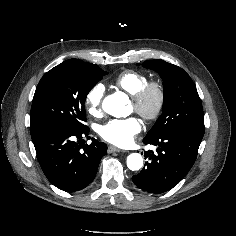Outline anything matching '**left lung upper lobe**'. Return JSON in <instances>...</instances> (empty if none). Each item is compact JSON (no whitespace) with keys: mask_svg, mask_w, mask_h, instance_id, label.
<instances>
[{"mask_svg":"<svg viewBox=\"0 0 236 236\" xmlns=\"http://www.w3.org/2000/svg\"><path fill=\"white\" fill-rule=\"evenodd\" d=\"M143 67L155 70L163 80V112L147 136L174 130L204 134V115L196 87L180 67L163 60L145 61Z\"/></svg>","mask_w":236,"mask_h":236,"instance_id":"1","label":"left lung upper lobe"}]
</instances>
